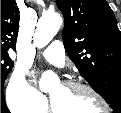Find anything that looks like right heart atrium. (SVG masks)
<instances>
[{
	"mask_svg": "<svg viewBox=\"0 0 121 113\" xmlns=\"http://www.w3.org/2000/svg\"><path fill=\"white\" fill-rule=\"evenodd\" d=\"M6 101L16 113H41L46 108L45 98L28 82L22 70L13 72Z\"/></svg>",
	"mask_w": 121,
	"mask_h": 113,
	"instance_id": "1",
	"label": "right heart atrium"
}]
</instances>
